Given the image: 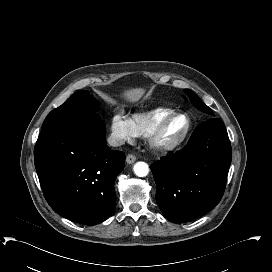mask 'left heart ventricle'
Masks as SVG:
<instances>
[{
	"instance_id": "left-heart-ventricle-1",
	"label": "left heart ventricle",
	"mask_w": 272,
	"mask_h": 272,
	"mask_svg": "<svg viewBox=\"0 0 272 272\" xmlns=\"http://www.w3.org/2000/svg\"><path fill=\"white\" fill-rule=\"evenodd\" d=\"M186 126L187 122L184 117L173 119L161 136V142L166 144L174 142L184 133Z\"/></svg>"
}]
</instances>
